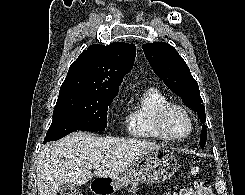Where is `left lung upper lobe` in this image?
<instances>
[{"label":"left lung upper lobe","instance_id":"5c2ea615","mask_svg":"<svg viewBox=\"0 0 245 195\" xmlns=\"http://www.w3.org/2000/svg\"><path fill=\"white\" fill-rule=\"evenodd\" d=\"M143 50L155 74L165 85L179 96L183 103L197 112L201 123L206 122L205 107L200 96L198 83L192 77L188 66L174 47L158 42L143 45ZM206 143V125L202 126L200 146Z\"/></svg>","mask_w":245,"mask_h":195}]
</instances>
